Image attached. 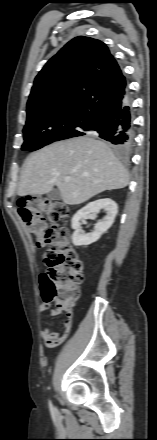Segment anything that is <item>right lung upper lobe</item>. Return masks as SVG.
Segmentation results:
<instances>
[{
  "label": "right lung upper lobe",
  "instance_id": "1",
  "mask_svg": "<svg viewBox=\"0 0 157 440\" xmlns=\"http://www.w3.org/2000/svg\"><path fill=\"white\" fill-rule=\"evenodd\" d=\"M127 83L107 46L76 37L53 56L35 78L27 121L84 125L127 96Z\"/></svg>",
  "mask_w": 157,
  "mask_h": 440
}]
</instances>
